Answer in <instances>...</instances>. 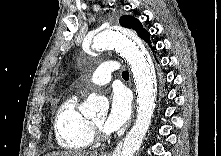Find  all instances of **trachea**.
<instances>
[{"label":"trachea","mask_w":221,"mask_h":156,"mask_svg":"<svg viewBox=\"0 0 221 156\" xmlns=\"http://www.w3.org/2000/svg\"><path fill=\"white\" fill-rule=\"evenodd\" d=\"M122 77L123 78H129V72L127 70L123 71Z\"/></svg>","instance_id":"1"}]
</instances>
